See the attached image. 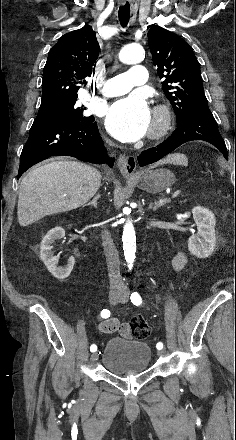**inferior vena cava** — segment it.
I'll return each instance as SVG.
<instances>
[{"mask_svg":"<svg viewBox=\"0 0 236 440\" xmlns=\"http://www.w3.org/2000/svg\"><path fill=\"white\" fill-rule=\"evenodd\" d=\"M110 146H113L111 141H107ZM102 245L104 248V254L106 257L108 272H109V280H110V287L111 288H120L124 286V283L122 281L121 275H120V269H119V257L117 249L114 245L113 239L111 237V234L108 230H103L102 234Z\"/></svg>","mask_w":236,"mask_h":440,"instance_id":"1","label":"inferior vena cava"}]
</instances>
